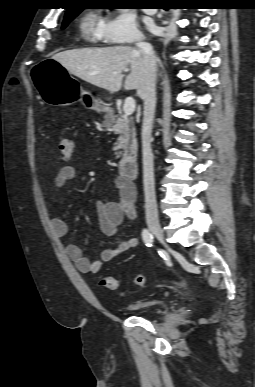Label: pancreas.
<instances>
[{
    "label": "pancreas",
    "instance_id": "cf45deb5",
    "mask_svg": "<svg viewBox=\"0 0 255 387\" xmlns=\"http://www.w3.org/2000/svg\"><path fill=\"white\" fill-rule=\"evenodd\" d=\"M104 125L110 127L111 131L115 134H119L114 146L117 158L128 154H136L137 139L134 121L132 119L127 118L122 114L108 116L104 121Z\"/></svg>",
    "mask_w": 255,
    "mask_h": 387
}]
</instances>
